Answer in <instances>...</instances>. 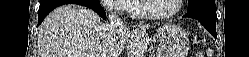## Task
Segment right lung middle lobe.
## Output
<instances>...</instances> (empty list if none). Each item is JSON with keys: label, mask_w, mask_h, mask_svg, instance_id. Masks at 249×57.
<instances>
[{"label": "right lung middle lobe", "mask_w": 249, "mask_h": 57, "mask_svg": "<svg viewBox=\"0 0 249 57\" xmlns=\"http://www.w3.org/2000/svg\"><path fill=\"white\" fill-rule=\"evenodd\" d=\"M85 1L89 2V3H92V4H95V5H100L99 0H85Z\"/></svg>", "instance_id": "right-lung-middle-lobe-1"}]
</instances>
